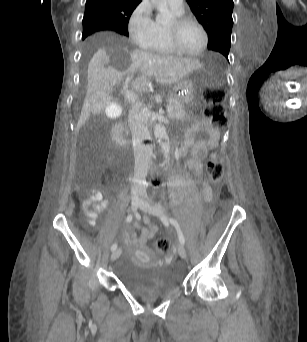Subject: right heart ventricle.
I'll return each mask as SVG.
<instances>
[{
    "label": "right heart ventricle",
    "mask_w": 307,
    "mask_h": 342,
    "mask_svg": "<svg viewBox=\"0 0 307 342\" xmlns=\"http://www.w3.org/2000/svg\"><path fill=\"white\" fill-rule=\"evenodd\" d=\"M144 49L152 51V52H157L161 54H172L170 49L167 47L164 41V34L161 33L160 36L148 44L143 46Z\"/></svg>",
    "instance_id": "1"
}]
</instances>
